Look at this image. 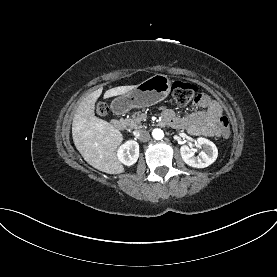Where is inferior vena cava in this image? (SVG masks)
Returning <instances> with one entry per match:
<instances>
[{"mask_svg": "<svg viewBox=\"0 0 277 277\" xmlns=\"http://www.w3.org/2000/svg\"><path fill=\"white\" fill-rule=\"evenodd\" d=\"M135 136L138 140L146 142L150 140V133L146 130L136 131Z\"/></svg>", "mask_w": 277, "mask_h": 277, "instance_id": "602c4592", "label": "inferior vena cava"}]
</instances>
